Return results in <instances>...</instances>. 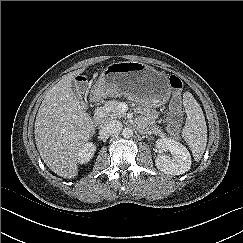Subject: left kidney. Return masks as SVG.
I'll use <instances>...</instances> for the list:
<instances>
[{
    "label": "left kidney",
    "mask_w": 243,
    "mask_h": 243,
    "mask_svg": "<svg viewBox=\"0 0 243 243\" xmlns=\"http://www.w3.org/2000/svg\"><path fill=\"white\" fill-rule=\"evenodd\" d=\"M159 155L155 160L157 168L170 175H181L190 170L191 155L187 148L171 138H161L156 141ZM171 155H166L165 153Z\"/></svg>",
    "instance_id": "left-kidney-1"
}]
</instances>
